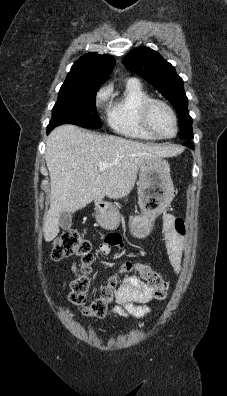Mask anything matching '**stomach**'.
I'll return each mask as SVG.
<instances>
[{
    "mask_svg": "<svg viewBox=\"0 0 227 396\" xmlns=\"http://www.w3.org/2000/svg\"><path fill=\"white\" fill-rule=\"evenodd\" d=\"M138 203L142 214L132 217L129 223L130 231L136 238L147 237L153 223L171 203L174 196V185L170 176V166L162 157L152 158L139 168ZM96 220L107 230L116 229L120 214L115 206L97 201Z\"/></svg>",
    "mask_w": 227,
    "mask_h": 396,
    "instance_id": "1",
    "label": "stomach"
}]
</instances>
